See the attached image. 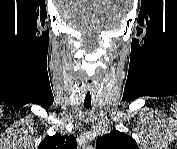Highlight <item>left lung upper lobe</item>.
<instances>
[{"label":"left lung upper lobe","instance_id":"left-lung-upper-lobe-1","mask_svg":"<svg viewBox=\"0 0 177 149\" xmlns=\"http://www.w3.org/2000/svg\"><path fill=\"white\" fill-rule=\"evenodd\" d=\"M97 149H138L136 141L123 132L111 131L96 140Z\"/></svg>","mask_w":177,"mask_h":149}]
</instances>
